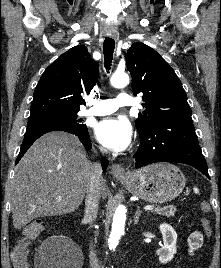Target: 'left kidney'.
I'll return each instance as SVG.
<instances>
[{
  "label": "left kidney",
  "instance_id": "obj_1",
  "mask_svg": "<svg viewBox=\"0 0 221 268\" xmlns=\"http://www.w3.org/2000/svg\"><path fill=\"white\" fill-rule=\"evenodd\" d=\"M159 229L163 236L164 245L157 249L156 254L159 257V261L162 264H166L173 259L177 252V233L171 225L166 223L161 224Z\"/></svg>",
  "mask_w": 221,
  "mask_h": 268
}]
</instances>
